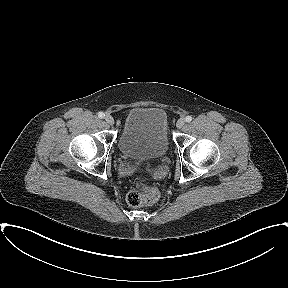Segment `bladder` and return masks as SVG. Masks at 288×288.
<instances>
[{
    "instance_id": "obj_1",
    "label": "bladder",
    "mask_w": 288,
    "mask_h": 288,
    "mask_svg": "<svg viewBox=\"0 0 288 288\" xmlns=\"http://www.w3.org/2000/svg\"><path fill=\"white\" fill-rule=\"evenodd\" d=\"M118 146L131 158H156L169 150L167 115L157 107H136L129 111Z\"/></svg>"
}]
</instances>
